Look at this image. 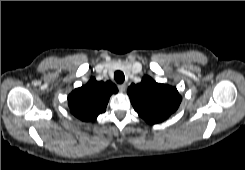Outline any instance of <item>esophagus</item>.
<instances>
[{
  "mask_svg": "<svg viewBox=\"0 0 245 170\" xmlns=\"http://www.w3.org/2000/svg\"><path fill=\"white\" fill-rule=\"evenodd\" d=\"M118 88L121 92H124L126 90V84H120L118 85Z\"/></svg>",
  "mask_w": 245,
  "mask_h": 170,
  "instance_id": "obj_1",
  "label": "esophagus"
}]
</instances>
